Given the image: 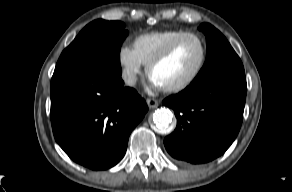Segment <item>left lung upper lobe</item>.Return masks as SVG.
Returning a JSON list of instances; mask_svg holds the SVG:
<instances>
[{
  "label": "left lung upper lobe",
  "instance_id": "left-lung-upper-lobe-1",
  "mask_svg": "<svg viewBox=\"0 0 292 192\" xmlns=\"http://www.w3.org/2000/svg\"><path fill=\"white\" fill-rule=\"evenodd\" d=\"M199 30L206 36L207 59L192 83L227 75L245 76L240 58L223 34L208 23L201 24Z\"/></svg>",
  "mask_w": 292,
  "mask_h": 192
}]
</instances>
